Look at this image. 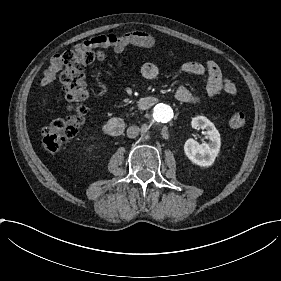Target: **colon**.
<instances>
[{"label": "colon", "instance_id": "colon-1", "mask_svg": "<svg viewBox=\"0 0 281 281\" xmlns=\"http://www.w3.org/2000/svg\"><path fill=\"white\" fill-rule=\"evenodd\" d=\"M104 37L93 38L79 43L73 50L63 54L65 69L60 79L65 92V106L62 114L53 120L43 131L42 143L51 154H57L70 140L77 138L87 125V100H88V77L86 67L95 62L104 60L107 52L113 50L103 43ZM154 58L163 54L159 45L150 49ZM247 122L242 112L231 115L230 123L233 127L241 128Z\"/></svg>", "mask_w": 281, "mask_h": 281}]
</instances>
